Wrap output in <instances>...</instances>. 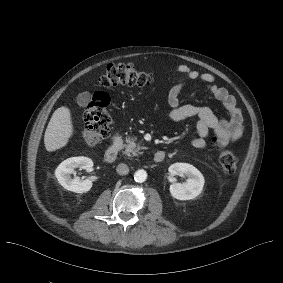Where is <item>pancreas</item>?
Segmentation results:
<instances>
[{
  "mask_svg": "<svg viewBox=\"0 0 283 283\" xmlns=\"http://www.w3.org/2000/svg\"><path fill=\"white\" fill-rule=\"evenodd\" d=\"M137 138H126V142H127V146L125 149V153L127 155L132 154L133 156H137L138 154H142V152L140 150L144 149V147L137 145L135 143Z\"/></svg>",
  "mask_w": 283,
  "mask_h": 283,
  "instance_id": "obj_1",
  "label": "pancreas"
}]
</instances>
